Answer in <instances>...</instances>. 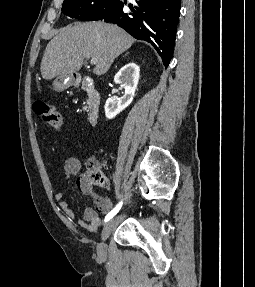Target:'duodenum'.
Here are the masks:
<instances>
[{
    "instance_id": "1",
    "label": "duodenum",
    "mask_w": 255,
    "mask_h": 287,
    "mask_svg": "<svg viewBox=\"0 0 255 287\" xmlns=\"http://www.w3.org/2000/svg\"><path fill=\"white\" fill-rule=\"evenodd\" d=\"M72 85L80 87L87 94V119L91 125H96L100 117V93L95 88L94 84L86 79L74 80Z\"/></svg>"
}]
</instances>
